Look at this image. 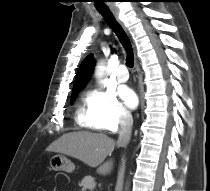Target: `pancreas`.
I'll list each match as a JSON object with an SVG mask.
<instances>
[{
    "mask_svg": "<svg viewBox=\"0 0 210 191\" xmlns=\"http://www.w3.org/2000/svg\"><path fill=\"white\" fill-rule=\"evenodd\" d=\"M79 186L82 187V191L85 190H93L96 186V182L93 177L85 176L81 182H79Z\"/></svg>",
    "mask_w": 210,
    "mask_h": 191,
    "instance_id": "1",
    "label": "pancreas"
}]
</instances>
